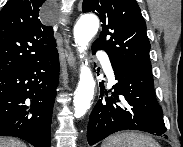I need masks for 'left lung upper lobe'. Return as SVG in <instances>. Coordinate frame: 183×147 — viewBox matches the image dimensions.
<instances>
[{
	"label": "left lung upper lobe",
	"mask_w": 183,
	"mask_h": 147,
	"mask_svg": "<svg viewBox=\"0 0 183 147\" xmlns=\"http://www.w3.org/2000/svg\"><path fill=\"white\" fill-rule=\"evenodd\" d=\"M83 12H93L102 24L92 48L104 49L111 60L152 75L146 23L136 0H84Z\"/></svg>",
	"instance_id": "obj_1"
}]
</instances>
